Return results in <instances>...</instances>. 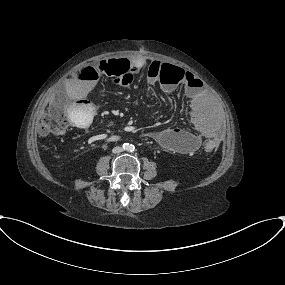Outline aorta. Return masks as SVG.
Wrapping results in <instances>:
<instances>
[{
  "label": "aorta",
  "instance_id": "obj_1",
  "mask_svg": "<svg viewBox=\"0 0 285 285\" xmlns=\"http://www.w3.org/2000/svg\"><path fill=\"white\" fill-rule=\"evenodd\" d=\"M124 148H125L126 150L131 151V150L134 148V146H133L132 144L126 143V144L124 145Z\"/></svg>",
  "mask_w": 285,
  "mask_h": 285
}]
</instances>
